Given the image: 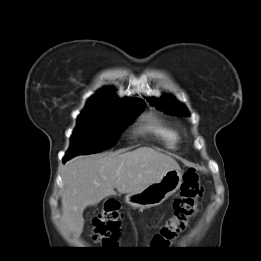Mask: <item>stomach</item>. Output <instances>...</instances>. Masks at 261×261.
<instances>
[{"instance_id":"stomach-1","label":"stomach","mask_w":261,"mask_h":261,"mask_svg":"<svg viewBox=\"0 0 261 261\" xmlns=\"http://www.w3.org/2000/svg\"><path fill=\"white\" fill-rule=\"evenodd\" d=\"M181 184V170H169L158 182L148 185L139 192L127 194L125 202L133 208L140 209L157 206L174 194Z\"/></svg>"}]
</instances>
